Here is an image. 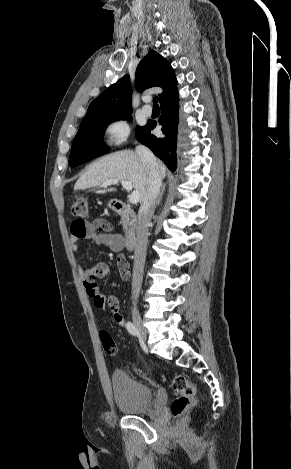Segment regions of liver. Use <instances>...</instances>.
<instances>
[{
  "instance_id": "6515ba94",
  "label": "liver",
  "mask_w": 291,
  "mask_h": 469,
  "mask_svg": "<svg viewBox=\"0 0 291 469\" xmlns=\"http://www.w3.org/2000/svg\"><path fill=\"white\" fill-rule=\"evenodd\" d=\"M157 163L161 178H164L166 167L159 160ZM113 179L130 181L134 189L139 192V200L142 203L149 186V172L138 154L130 150L114 152L93 163L76 181L74 189L94 188ZM112 191L116 189L98 190L97 193Z\"/></svg>"
}]
</instances>
